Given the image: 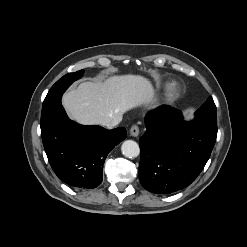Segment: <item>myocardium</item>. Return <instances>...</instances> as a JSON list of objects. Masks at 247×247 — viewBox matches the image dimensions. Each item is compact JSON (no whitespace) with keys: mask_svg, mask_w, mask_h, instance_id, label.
<instances>
[{"mask_svg":"<svg viewBox=\"0 0 247 247\" xmlns=\"http://www.w3.org/2000/svg\"><path fill=\"white\" fill-rule=\"evenodd\" d=\"M180 93V87L177 83H172L170 84L167 89H166V93H165V98L167 102H173Z\"/></svg>","mask_w":247,"mask_h":247,"instance_id":"f54148a6","label":"myocardium"}]
</instances>
